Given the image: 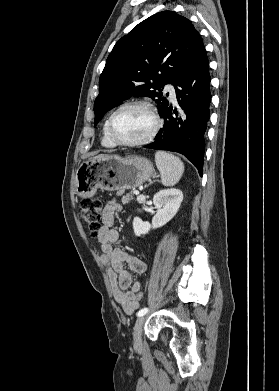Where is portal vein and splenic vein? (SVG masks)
Returning a JSON list of instances; mask_svg holds the SVG:
<instances>
[{"label":"portal vein and splenic vein","instance_id":"1","mask_svg":"<svg viewBox=\"0 0 279 391\" xmlns=\"http://www.w3.org/2000/svg\"><path fill=\"white\" fill-rule=\"evenodd\" d=\"M134 194H135V195H139V191H137V190L134 191Z\"/></svg>","mask_w":279,"mask_h":391}]
</instances>
